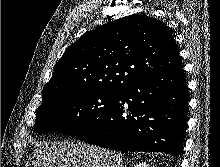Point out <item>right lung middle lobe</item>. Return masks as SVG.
<instances>
[{"label": "right lung middle lobe", "mask_w": 220, "mask_h": 167, "mask_svg": "<svg viewBox=\"0 0 220 167\" xmlns=\"http://www.w3.org/2000/svg\"><path fill=\"white\" fill-rule=\"evenodd\" d=\"M118 91L80 88L43 101L36 110L38 134L58 131L78 136L95 126L112 107Z\"/></svg>", "instance_id": "right-lung-middle-lobe-1"}]
</instances>
